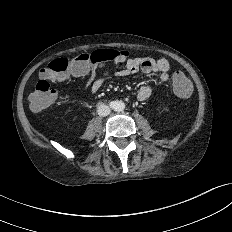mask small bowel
<instances>
[{"mask_svg": "<svg viewBox=\"0 0 232 232\" xmlns=\"http://www.w3.org/2000/svg\"><path fill=\"white\" fill-rule=\"evenodd\" d=\"M110 61H112L115 66V70L112 72V74L116 77H126L138 72H142L146 75L159 73V79L161 83H166L169 80L170 63L167 59L164 58L158 60L150 57L128 58L122 54H116ZM69 74L75 77H82L88 74V78L85 83V89L91 93L98 92L103 86L106 77L110 75L109 72H105L103 75L96 78L94 69L90 72L86 70L82 73L69 72L57 82L65 81ZM151 94V86L144 85L138 90L136 98L138 101H145L151 96Z\"/></svg>", "mask_w": 232, "mask_h": 232, "instance_id": "small-bowel-1", "label": "small bowel"}]
</instances>
